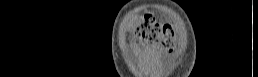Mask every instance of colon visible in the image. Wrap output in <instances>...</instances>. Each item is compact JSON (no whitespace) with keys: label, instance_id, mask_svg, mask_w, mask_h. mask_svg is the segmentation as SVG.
I'll return each mask as SVG.
<instances>
[{"label":"colon","instance_id":"1","mask_svg":"<svg viewBox=\"0 0 258 77\" xmlns=\"http://www.w3.org/2000/svg\"><path fill=\"white\" fill-rule=\"evenodd\" d=\"M136 34L145 44H156L162 50H168L172 43L174 30L167 23L158 22L154 16L146 14L136 26Z\"/></svg>","mask_w":258,"mask_h":77}]
</instances>
